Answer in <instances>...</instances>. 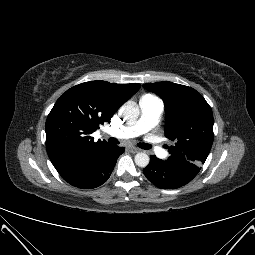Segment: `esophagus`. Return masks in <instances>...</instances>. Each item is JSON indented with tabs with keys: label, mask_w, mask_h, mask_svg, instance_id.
<instances>
[{
	"label": "esophagus",
	"mask_w": 255,
	"mask_h": 255,
	"mask_svg": "<svg viewBox=\"0 0 255 255\" xmlns=\"http://www.w3.org/2000/svg\"><path fill=\"white\" fill-rule=\"evenodd\" d=\"M128 150L131 152V153H137L140 151V149L136 148V147H130L128 148Z\"/></svg>",
	"instance_id": "1"
}]
</instances>
